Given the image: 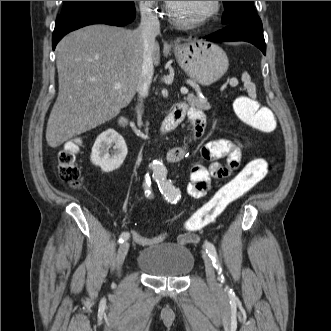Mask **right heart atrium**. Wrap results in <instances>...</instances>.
<instances>
[{
	"label": "right heart atrium",
	"mask_w": 331,
	"mask_h": 331,
	"mask_svg": "<svg viewBox=\"0 0 331 331\" xmlns=\"http://www.w3.org/2000/svg\"><path fill=\"white\" fill-rule=\"evenodd\" d=\"M142 16H158L156 1H138Z\"/></svg>",
	"instance_id": "d8ad5b80"
}]
</instances>
